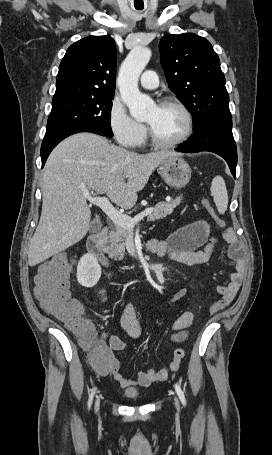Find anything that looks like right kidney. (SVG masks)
Instances as JSON below:
<instances>
[{"mask_svg":"<svg viewBox=\"0 0 272 455\" xmlns=\"http://www.w3.org/2000/svg\"><path fill=\"white\" fill-rule=\"evenodd\" d=\"M100 277L101 267L96 257L89 253L83 255L77 266L78 283L84 287H93Z\"/></svg>","mask_w":272,"mask_h":455,"instance_id":"1","label":"right kidney"}]
</instances>
